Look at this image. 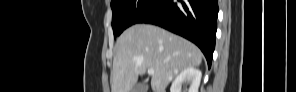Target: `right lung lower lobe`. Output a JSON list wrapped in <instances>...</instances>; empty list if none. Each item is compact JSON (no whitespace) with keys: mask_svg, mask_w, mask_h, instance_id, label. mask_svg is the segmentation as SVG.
I'll use <instances>...</instances> for the list:
<instances>
[{"mask_svg":"<svg viewBox=\"0 0 296 92\" xmlns=\"http://www.w3.org/2000/svg\"><path fill=\"white\" fill-rule=\"evenodd\" d=\"M217 0H160L137 23L163 27L195 43L211 66L217 30Z\"/></svg>","mask_w":296,"mask_h":92,"instance_id":"1","label":"right lung lower lobe"}]
</instances>
